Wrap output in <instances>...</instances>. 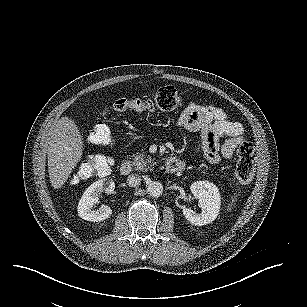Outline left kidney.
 I'll return each instance as SVG.
<instances>
[{
	"label": "left kidney",
	"mask_w": 307,
	"mask_h": 307,
	"mask_svg": "<svg viewBox=\"0 0 307 307\" xmlns=\"http://www.w3.org/2000/svg\"><path fill=\"white\" fill-rule=\"evenodd\" d=\"M192 194L199 199L200 213L191 208H184L183 213L194 225H206L214 221L220 212L221 194L218 186L208 180H200L190 185Z\"/></svg>",
	"instance_id": "obj_1"
}]
</instances>
